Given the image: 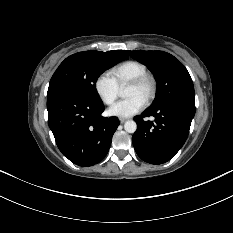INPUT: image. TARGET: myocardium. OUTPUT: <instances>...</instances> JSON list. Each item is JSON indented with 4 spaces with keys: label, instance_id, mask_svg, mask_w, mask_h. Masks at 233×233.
Here are the masks:
<instances>
[{
    "label": "myocardium",
    "instance_id": "myocardium-1",
    "mask_svg": "<svg viewBox=\"0 0 233 233\" xmlns=\"http://www.w3.org/2000/svg\"><path fill=\"white\" fill-rule=\"evenodd\" d=\"M128 86L134 87H147V94L145 97V103H150L156 96L157 82L155 78L150 74H144L128 82Z\"/></svg>",
    "mask_w": 233,
    "mask_h": 233
}]
</instances>
